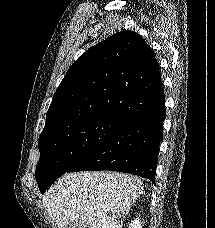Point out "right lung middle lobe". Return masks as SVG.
<instances>
[{
    "instance_id": "dd1d6c3e",
    "label": "right lung middle lobe",
    "mask_w": 215,
    "mask_h": 228,
    "mask_svg": "<svg viewBox=\"0 0 215 228\" xmlns=\"http://www.w3.org/2000/svg\"><path fill=\"white\" fill-rule=\"evenodd\" d=\"M125 119L101 115L40 135L36 181L44 193L60 176L106 139Z\"/></svg>"
}]
</instances>
